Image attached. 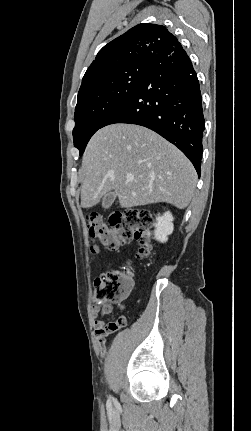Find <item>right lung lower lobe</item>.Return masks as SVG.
<instances>
[{
  "mask_svg": "<svg viewBox=\"0 0 251 431\" xmlns=\"http://www.w3.org/2000/svg\"><path fill=\"white\" fill-rule=\"evenodd\" d=\"M147 127L178 147L201 174L205 120L199 81L182 48L152 56L136 90L103 124Z\"/></svg>",
  "mask_w": 251,
  "mask_h": 431,
  "instance_id": "98d812e1",
  "label": "right lung lower lobe"
}]
</instances>
